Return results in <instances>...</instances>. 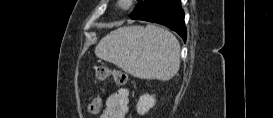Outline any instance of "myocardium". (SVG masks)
Instances as JSON below:
<instances>
[{
  "label": "myocardium",
  "instance_id": "1",
  "mask_svg": "<svg viewBox=\"0 0 273 118\" xmlns=\"http://www.w3.org/2000/svg\"><path fill=\"white\" fill-rule=\"evenodd\" d=\"M132 0H120L118 1V5L123 10H128L132 6Z\"/></svg>",
  "mask_w": 273,
  "mask_h": 118
}]
</instances>
